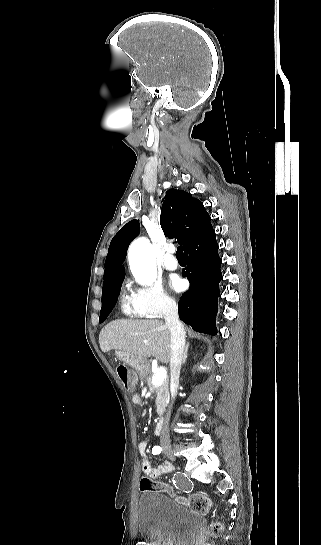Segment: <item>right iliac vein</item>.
<instances>
[{
  "instance_id": "right-iliac-vein-1",
  "label": "right iliac vein",
  "mask_w": 321,
  "mask_h": 545,
  "mask_svg": "<svg viewBox=\"0 0 321 545\" xmlns=\"http://www.w3.org/2000/svg\"><path fill=\"white\" fill-rule=\"evenodd\" d=\"M163 452L170 460H175V454H174L172 448L164 447Z\"/></svg>"
}]
</instances>
